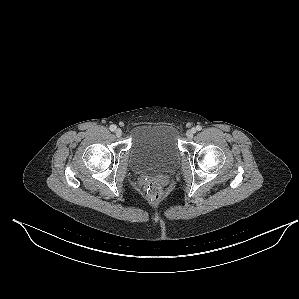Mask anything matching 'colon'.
Segmentation results:
<instances>
[{
	"mask_svg": "<svg viewBox=\"0 0 299 299\" xmlns=\"http://www.w3.org/2000/svg\"><path fill=\"white\" fill-rule=\"evenodd\" d=\"M147 194L153 201L158 200L162 194V186L157 181H151L147 185Z\"/></svg>",
	"mask_w": 299,
	"mask_h": 299,
	"instance_id": "obj_1",
	"label": "colon"
}]
</instances>
